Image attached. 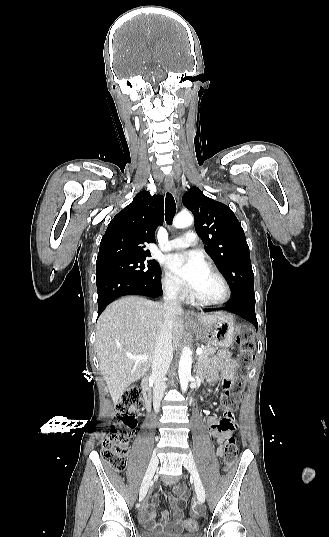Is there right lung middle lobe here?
<instances>
[{
	"instance_id": "1",
	"label": "right lung middle lobe",
	"mask_w": 329,
	"mask_h": 537,
	"mask_svg": "<svg viewBox=\"0 0 329 537\" xmlns=\"http://www.w3.org/2000/svg\"><path fill=\"white\" fill-rule=\"evenodd\" d=\"M146 257L135 259L113 260L96 265V274L115 273L139 279L157 281L161 269L156 260H146Z\"/></svg>"
}]
</instances>
